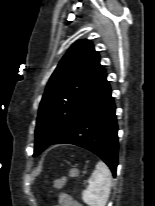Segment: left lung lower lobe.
<instances>
[{
	"label": "left lung lower lobe",
	"instance_id": "obj_1",
	"mask_svg": "<svg viewBox=\"0 0 155 206\" xmlns=\"http://www.w3.org/2000/svg\"><path fill=\"white\" fill-rule=\"evenodd\" d=\"M118 126L111 88L99 96L79 117L70 131L54 144H73L98 155L116 175Z\"/></svg>",
	"mask_w": 155,
	"mask_h": 206
}]
</instances>
